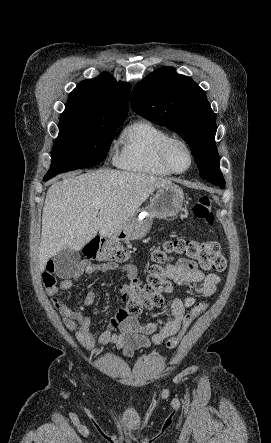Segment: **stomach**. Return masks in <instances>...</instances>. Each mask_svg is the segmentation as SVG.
Segmentation results:
<instances>
[{
    "mask_svg": "<svg viewBox=\"0 0 271 443\" xmlns=\"http://www.w3.org/2000/svg\"><path fill=\"white\" fill-rule=\"evenodd\" d=\"M184 202L182 188L168 184L164 188H159L155 196L150 200V206L147 210L139 212V218H128L122 231L111 233V239L115 241H130V239H141L148 233L151 227L152 218H174L180 212ZM147 218V222H144ZM143 220L142 223H139Z\"/></svg>",
    "mask_w": 271,
    "mask_h": 443,
    "instance_id": "0dacf381",
    "label": "stomach"
}]
</instances>
